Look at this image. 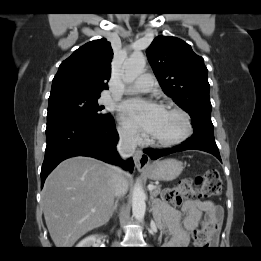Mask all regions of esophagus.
I'll return each mask as SVG.
<instances>
[{
  "label": "esophagus",
  "instance_id": "esophagus-1",
  "mask_svg": "<svg viewBox=\"0 0 261 261\" xmlns=\"http://www.w3.org/2000/svg\"><path fill=\"white\" fill-rule=\"evenodd\" d=\"M134 163L138 170H144L148 168L150 163V158L142 150L138 149L134 154Z\"/></svg>",
  "mask_w": 261,
  "mask_h": 261
}]
</instances>
